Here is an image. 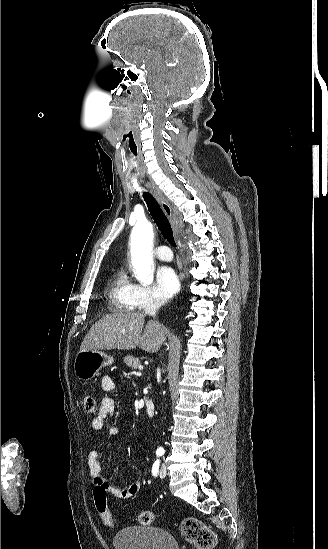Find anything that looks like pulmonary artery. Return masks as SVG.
Returning a JSON list of instances; mask_svg holds the SVG:
<instances>
[{
	"instance_id": "1",
	"label": "pulmonary artery",
	"mask_w": 328,
	"mask_h": 549,
	"mask_svg": "<svg viewBox=\"0 0 328 549\" xmlns=\"http://www.w3.org/2000/svg\"><path fill=\"white\" fill-rule=\"evenodd\" d=\"M154 253H155V256L160 260L168 261L172 259V254L168 252L167 248L164 246L157 247L154 250Z\"/></svg>"
}]
</instances>
